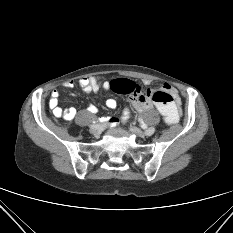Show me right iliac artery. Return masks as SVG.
Here are the masks:
<instances>
[{"instance_id":"right-iliac-artery-1","label":"right iliac artery","mask_w":233,"mask_h":233,"mask_svg":"<svg viewBox=\"0 0 233 233\" xmlns=\"http://www.w3.org/2000/svg\"><path fill=\"white\" fill-rule=\"evenodd\" d=\"M90 128H103V125L93 124V125L90 126Z\"/></svg>"}]
</instances>
